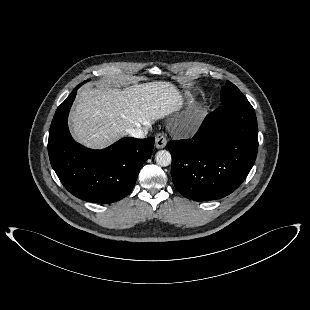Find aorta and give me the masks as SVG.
<instances>
[{
    "label": "aorta",
    "instance_id": "1",
    "mask_svg": "<svg viewBox=\"0 0 310 310\" xmlns=\"http://www.w3.org/2000/svg\"><path fill=\"white\" fill-rule=\"evenodd\" d=\"M155 160L159 166L166 167L171 164L172 158L169 151L160 150L156 153Z\"/></svg>",
    "mask_w": 310,
    "mask_h": 310
}]
</instances>
